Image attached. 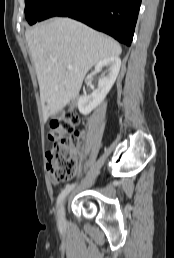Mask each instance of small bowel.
I'll use <instances>...</instances> for the list:
<instances>
[{
  "label": "small bowel",
  "instance_id": "obj_1",
  "mask_svg": "<svg viewBox=\"0 0 174 258\" xmlns=\"http://www.w3.org/2000/svg\"><path fill=\"white\" fill-rule=\"evenodd\" d=\"M52 181H53V183H54V184H56V183H57V181H56L55 179H53Z\"/></svg>",
  "mask_w": 174,
  "mask_h": 258
}]
</instances>
